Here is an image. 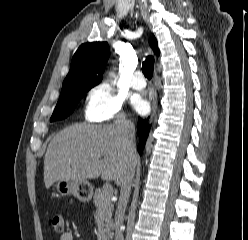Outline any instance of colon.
Instances as JSON below:
<instances>
[{"instance_id":"1","label":"colon","mask_w":248,"mask_h":240,"mask_svg":"<svg viewBox=\"0 0 248 240\" xmlns=\"http://www.w3.org/2000/svg\"><path fill=\"white\" fill-rule=\"evenodd\" d=\"M48 224L56 232H62L64 230V219L59 213L51 215L48 219Z\"/></svg>"}]
</instances>
